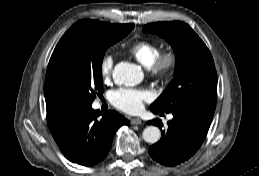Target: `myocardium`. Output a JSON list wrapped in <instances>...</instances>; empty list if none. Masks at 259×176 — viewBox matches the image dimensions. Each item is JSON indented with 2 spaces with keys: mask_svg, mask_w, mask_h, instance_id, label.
Returning <instances> with one entry per match:
<instances>
[{
  "mask_svg": "<svg viewBox=\"0 0 259 176\" xmlns=\"http://www.w3.org/2000/svg\"><path fill=\"white\" fill-rule=\"evenodd\" d=\"M178 65V55L175 50L167 49L158 54L147 69L152 76L167 78L171 76Z\"/></svg>",
  "mask_w": 259,
  "mask_h": 176,
  "instance_id": "f54148a6",
  "label": "myocardium"
}]
</instances>
